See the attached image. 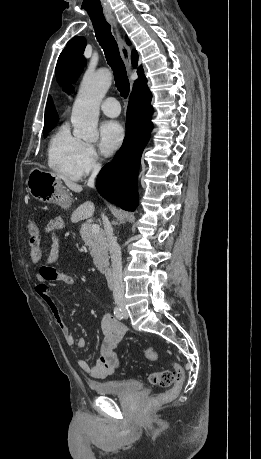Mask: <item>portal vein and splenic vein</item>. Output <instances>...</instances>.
I'll return each instance as SVG.
<instances>
[{"instance_id":"1","label":"portal vein and splenic vein","mask_w":261,"mask_h":459,"mask_svg":"<svg viewBox=\"0 0 261 459\" xmlns=\"http://www.w3.org/2000/svg\"><path fill=\"white\" fill-rule=\"evenodd\" d=\"M91 230H92L93 233H99L100 227H99L98 224H92L91 225Z\"/></svg>"}]
</instances>
